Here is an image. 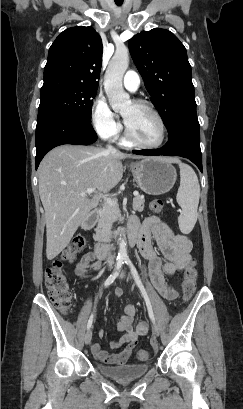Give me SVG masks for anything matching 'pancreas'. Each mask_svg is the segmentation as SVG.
<instances>
[{"label": "pancreas", "instance_id": "obj_1", "mask_svg": "<svg viewBox=\"0 0 243 409\" xmlns=\"http://www.w3.org/2000/svg\"><path fill=\"white\" fill-rule=\"evenodd\" d=\"M144 197L137 195L133 199V209L138 212L144 210ZM119 208L105 204L100 209L98 224L95 229L94 239L98 242H108L112 236V225L118 220Z\"/></svg>", "mask_w": 243, "mask_h": 409}]
</instances>
